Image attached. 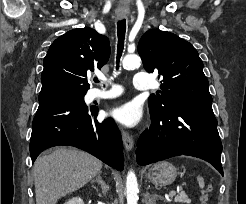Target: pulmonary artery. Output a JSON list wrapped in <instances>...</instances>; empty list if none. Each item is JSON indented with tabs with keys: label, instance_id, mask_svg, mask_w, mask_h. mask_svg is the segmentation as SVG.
<instances>
[{
	"label": "pulmonary artery",
	"instance_id": "1",
	"mask_svg": "<svg viewBox=\"0 0 246 204\" xmlns=\"http://www.w3.org/2000/svg\"><path fill=\"white\" fill-rule=\"evenodd\" d=\"M105 80V79H104ZM133 85L138 90H148L151 88V80L149 74L146 72H137L133 77ZM122 89L119 86H113L108 91L94 89L90 93L92 100L110 99L119 96Z\"/></svg>",
	"mask_w": 246,
	"mask_h": 204
}]
</instances>
